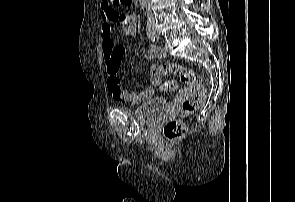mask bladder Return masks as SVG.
Instances as JSON below:
<instances>
[{"instance_id": "1", "label": "bladder", "mask_w": 295, "mask_h": 202, "mask_svg": "<svg viewBox=\"0 0 295 202\" xmlns=\"http://www.w3.org/2000/svg\"><path fill=\"white\" fill-rule=\"evenodd\" d=\"M168 110L167 101L161 97H153L133 109V115L141 122L152 124L161 120Z\"/></svg>"}]
</instances>
